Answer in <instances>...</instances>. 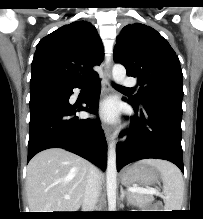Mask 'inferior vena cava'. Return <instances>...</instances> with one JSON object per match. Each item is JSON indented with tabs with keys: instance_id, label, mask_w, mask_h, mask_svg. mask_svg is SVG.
<instances>
[{
	"instance_id": "602c4592",
	"label": "inferior vena cava",
	"mask_w": 203,
	"mask_h": 219,
	"mask_svg": "<svg viewBox=\"0 0 203 219\" xmlns=\"http://www.w3.org/2000/svg\"><path fill=\"white\" fill-rule=\"evenodd\" d=\"M100 190L101 185L98 176V169L92 165L87 176V184L82 201V208L84 212H91L94 210L98 202Z\"/></svg>"
}]
</instances>
